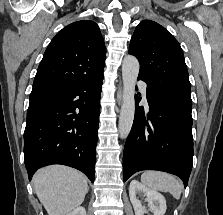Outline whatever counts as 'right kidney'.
Returning <instances> with one entry per match:
<instances>
[{"mask_svg": "<svg viewBox=\"0 0 223 215\" xmlns=\"http://www.w3.org/2000/svg\"><path fill=\"white\" fill-rule=\"evenodd\" d=\"M66 215H86L85 207L79 205V207H76V209H73V211H69V213H66Z\"/></svg>", "mask_w": 223, "mask_h": 215, "instance_id": "1", "label": "right kidney"}]
</instances>
